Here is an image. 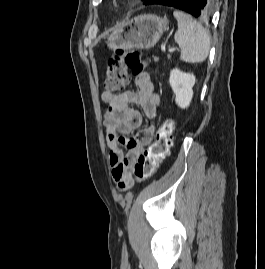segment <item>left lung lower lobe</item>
<instances>
[{"label": "left lung lower lobe", "mask_w": 265, "mask_h": 269, "mask_svg": "<svg viewBox=\"0 0 265 269\" xmlns=\"http://www.w3.org/2000/svg\"><path fill=\"white\" fill-rule=\"evenodd\" d=\"M144 4L174 7L201 19L210 17L213 10L212 0H147Z\"/></svg>", "instance_id": "1"}]
</instances>
